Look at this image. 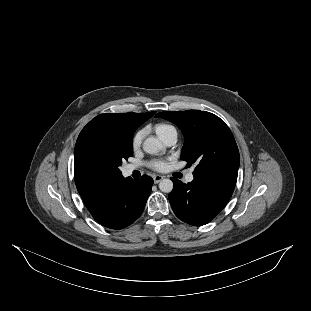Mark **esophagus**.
<instances>
[{
  "instance_id": "34e87169",
  "label": "esophagus",
  "mask_w": 311,
  "mask_h": 311,
  "mask_svg": "<svg viewBox=\"0 0 311 311\" xmlns=\"http://www.w3.org/2000/svg\"><path fill=\"white\" fill-rule=\"evenodd\" d=\"M164 176L162 175H154L153 176V180H154V183L157 184L159 183L161 180H163Z\"/></svg>"
}]
</instances>
